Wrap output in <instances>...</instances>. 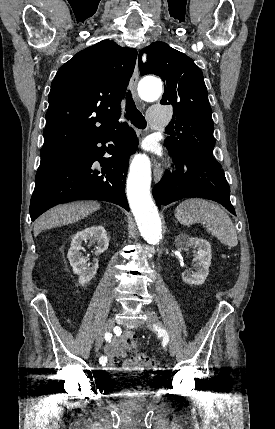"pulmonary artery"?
Masks as SVG:
<instances>
[{"label":"pulmonary artery","mask_w":275,"mask_h":429,"mask_svg":"<svg viewBox=\"0 0 275 429\" xmlns=\"http://www.w3.org/2000/svg\"><path fill=\"white\" fill-rule=\"evenodd\" d=\"M148 119L152 127H163L168 123V114L161 107H153L148 111Z\"/></svg>","instance_id":"1"}]
</instances>
